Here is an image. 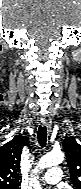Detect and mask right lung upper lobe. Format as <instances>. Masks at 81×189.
I'll return each instance as SVG.
<instances>
[{
    "label": "right lung upper lobe",
    "mask_w": 81,
    "mask_h": 189,
    "mask_svg": "<svg viewBox=\"0 0 81 189\" xmlns=\"http://www.w3.org/2000/svg\"><path fill=\"white\" fill-rule=\"evenodd\" d=\"M28 144V137L16 135L0 147V189H18L21 154Z\"/></svg>",
    "instance_id": "obj_1"
}]
</instances>
